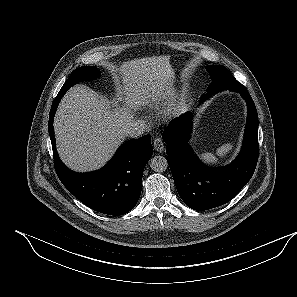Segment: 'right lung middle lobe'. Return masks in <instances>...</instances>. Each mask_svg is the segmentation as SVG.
<instances>
[{"label": "right lung middle lobe", "mask_w": 297, "mask_h": 297, "mask_svg": "<svg viewBox=\"0 0 297 297\" xmlns=\"http://www.w3.org/2000/svg\"><path fill=\"white\" fill-rule=\"evenodd\" d=\"M100 76V72L96 67L93 66H82L75 69L68 80L64 83L61 91L66 92L71 86L78 83L79 81H88L95 79Z\"/></svg>", "instance_id": "dd1d6c3e"}]
</instances>
